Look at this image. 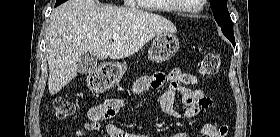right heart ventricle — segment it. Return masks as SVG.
<instances>
[{"label": "right heart ventricle", "mask_w": 280, "mask_h": 137, "mask_svg": "<svg viewBox=\"0 0 280 137\" xmlns=\"http://www.w3.org/2000/svg\"><path fill=\"white\" fill-rule=\"evenodd\" d=\"M166 9L168 10L166 13H173L174 12V10L171 9L170 7L166 8Z\"/></svg>", "instance_id": "1"}]
</instances>
